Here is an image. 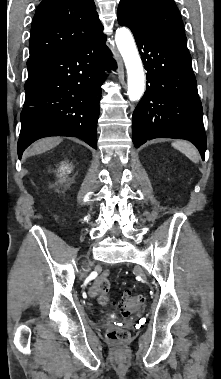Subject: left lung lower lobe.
I'll return each mask as SVG.
<instances>
[{
  "instance_id": "obj_1",
  "label": "left lung lower lobe",
  "mask_w": 221,
  "mask_h": 379,
  "mask_svg": "<svg viewBox=\"0 0 221 379\" xmlns=\"http://www.w3.org/2000/svg\"><path fill=\"white\" fill-rule=\"evenodd\" d=\"M118 22L131 29L148 71L145 94L133 113L135 147L154 138L187 139L204 159L203 111L186 42L145 29L124 10H118Z\"/></svg>"
}]
</instances>
